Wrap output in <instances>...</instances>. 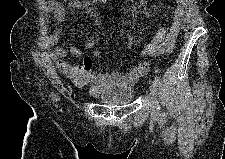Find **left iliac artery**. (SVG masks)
Listing matches in <instances>:
<instances>
[{"mask_svg": "<svg viewBox=\"0 0 225 159\" xmlns=\"http://www.w3.org/2000/svg\"><path fill=\"white\" fill-rule=\"evenodd\" d=\"M154 83L156 84V86H159L161 84V79L159 76H155ZM162 116L165 117V114H162Z\"/></svg>", "mask_w": 225, "mask_h": 159, "instance_id": "obj_1", "label": "left iliac artery"}]
</instances>
